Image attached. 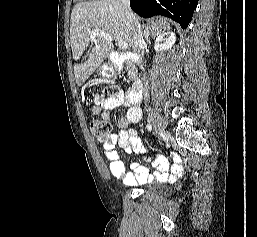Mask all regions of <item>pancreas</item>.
<instances>
[{"label": "pancreas", "instance_id": "pancreas-1", "mask_svg": "<svg viewBox=\"0 0 257 237\" xmlns=\"http://www.w3.org/2000/svg\"><path fill=\"white\" fill-rule=\"evenodd\" d=\"M127 70L130 78H134L136 76V71L132 63H127Z\"/></svg>", "mask_w": 257, "mask_h": 237}]
</instances>
